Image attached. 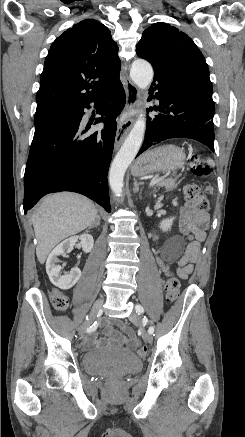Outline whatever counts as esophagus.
<instances>
[{
	"mask_svg": "<svg viewBox=\"0 0 245 437\" xmlns=\"http://www.w3.org/2000/svg\"><path fill=\"white\" fill-rule=\"evenodd\" d=\"M122 72H123V76L125 78V82H124V89L126 92V105H125V113H130L137 105L138 103V96H139V91L138 88L129 80V78L127 77V74L125 72V70L122 68ZM133 123V118L132 117H127L125 119H123L118 128H117V132H116V137H115V143H114V150H118L119 147L121 146L122 142L124 141L130 127L132 126Z\"/></svg>",
	"mask_w": 245,
	"mask_h": 437,
	"instance_id": "1",
	"label": "esophagus"
}]
</instances>
